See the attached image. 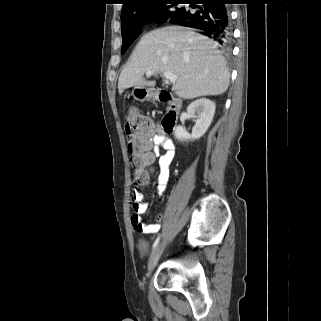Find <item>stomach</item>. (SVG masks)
<instances>
[{"instance_id":"obj_1","label":"stomach","mask_w":321,"mask_h":321,"mask_svg":"<svg viewBox=\"0 0 321 321\" xmlns=\"http://www.w3.org/2000/svg\"><path fill=\"white\" fill-rule=\"evenodd\" d=\"M133 95L138 100H144L150 97V92L148 89H145L143 87H135L133 90Z\"/></svg>"}]
</instances>
